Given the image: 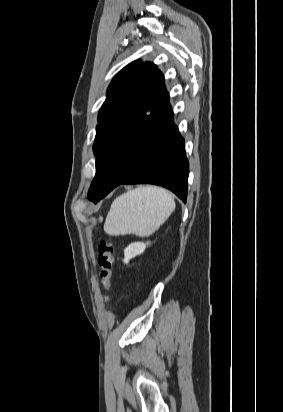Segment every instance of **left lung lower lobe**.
<instances>
[{"label":"left lung lower lobe","instance_id":"obj_1","mask_svg":"<svg viewBox=\"0 0 283 412\" xmlns=\"http://www.w3.org/2000/svg\"><path fill=\"white\" fill-rule=\"evenodd\" d=\"M188 175L184 139L173 122L171 110L156 126L151 142L136 166L133 167L127 157L114 156L106 149L99 154L93 180L100 184V193L93 202L121 184L139 183L163 186L186 202Z\"/></svg>","mask_w":283,"mask_h":412}]
</instances>
